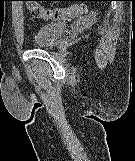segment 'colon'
Wrapping results in <instances>:
<instances>
[{"mask_svg": "<svg viewBox=\"0 0 135 161\" xmlns=\"http://www.w3.org/2000/svg\"><path fill=\"white\" fill-rule=\"evenodd\" d=\"M24 1H26L27 9L33 16L45 20H70L86 12V7L79 4L66 8H46L34 0Z\"/></svg>", "mask_w": 135, "mask_h": 161, "instance_id": "5ec220e1", "label": "colon"}]
</instances>
